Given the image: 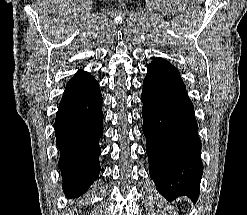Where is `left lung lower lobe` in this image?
I'll return each mask as SVG.
<instances>
[{"mask_svg":"<svg viewBox=\"0 0 247 215\" xmlns=\"http://www.w3.org/2000/svg\"><path fill=\"white\" fill-rule=\"evenodd\" d=\"M149 173L159 193L172 201L199 196L203 164L194 107L186 86L168 61L148 65L141 96Z\"/></svg>","mask_w":247,"mask_h":215,"instance_id":"1","label":"left lung lower lobe"}]
</instances>
